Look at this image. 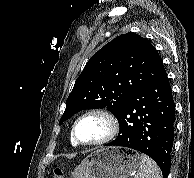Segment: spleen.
Instances as JSON below:
<instances>
[{
    "label": "spleen",
    "instance_id": "1",
    "mask_svg": "<svg viewBox=\"0 0 194 178\" xmlns=\"http://www.w3.org/2000/svg\"><path fill=\"white\" fill-rule=\"evenodd\" d=\"M141 167L134 178H162L158 165L147 155L142 154Z\"/></svg>",
    "mask_w": 194,
    "mask_h": 178
}]
</instances>
